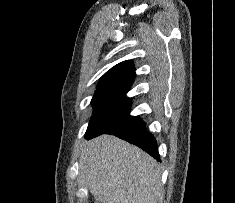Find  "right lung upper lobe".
I'll list each match as a JSON object with an SVG mask.
<instances>
[{"label": "right lung upper lobe", "mask_w": 235, "mask_h": 203, "mask_svg": "<svg viewBox=\"0 0 235 203\" xmlns=\"http://www.w3.org/2000/svg\"><path fill=\"white\" fill-rule=\"evenodd\" d=\"M134 76L135 68L133 63L130 60L123 61L106 72L99 81L97 87L110 85H131L134 81Z\"/></svg>", "instance_id": "obj_1"}]
</instances>
